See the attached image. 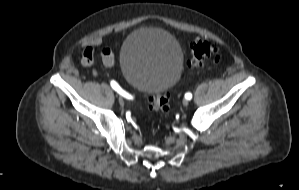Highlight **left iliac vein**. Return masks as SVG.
Here are the masks:
<instances>
[{
  "instance_id": "left-iliac-vein-1",
  "label": "left iliac vein",
  "mask_w": 299,
  "mask_h": 190,
  "mask_svg": "<svg viewBox=\"0 0 299 190\" xmlns=\"http://www.w3.org/2000/svg\"><path fill=\"white\" fill-rule=\"evenodd\" d=\"M182 103L184 106H187L189 104V101L187 99H184Z\"/></svg>"
}]
</instances>
